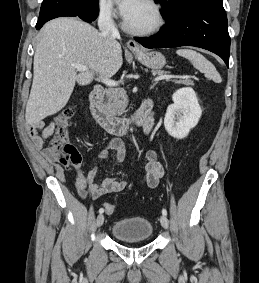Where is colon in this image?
Masks as SVG:
<instances>
[{"instance_id":"obj_1","label":"colon","mask_w":259,"mask_h":283,"mask_svg":"<svg viewBox=\"0 0 259 283\" xmlns=\"http://www.w3.org/2000/svg\"><path fill=\"white\" fill-rule=\"evenodd\" d=\"M74 114L75 106L69 104L56 115L54 135L45 149L47 159L64 166H74L81 163L82 160L79 150L68 141ZM103 210L107 214H112L115 211V206L112 203H106Z\"/></svg>"}]
</instances>
